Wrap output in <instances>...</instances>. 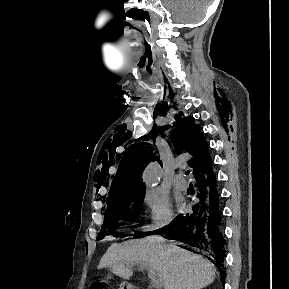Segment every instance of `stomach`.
<instances>
[{"mask_svg": "<svg viewBox=\"0 0 289 289\" xmlns=\"http://www.w3.org/2000/svg\"><path fill=\"white\" fill-rule=\"evenodd\" d=\"M120 289H132L129 284L123 283Z\"/></svg>", "mask_w": 289, "mask_h": 289, "instance_id": "1", "label": "stomach"}]
</instances>
